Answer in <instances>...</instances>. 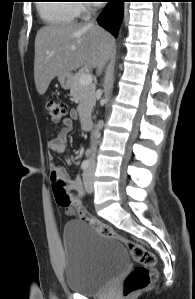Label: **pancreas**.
<instances>
[{"mask_svg": "<svg viewBox=\"0 0 195 299\" xmlns=\"http://www.w3.org/2000/svg\"><path fill=\"white\" fill-rule=\"evenodd\" d=\"M86 74L85 69H80L73 78V84L70 88L71 96L79 101L77 111L79 116L83 118L91 113L93 106L95 105V85H81L80 77Z\"/></svg>", "mask_w": 195, "mask_h": 299, "instance_id": "cf45deb5", "label": "pancreas"}]
</instances>
